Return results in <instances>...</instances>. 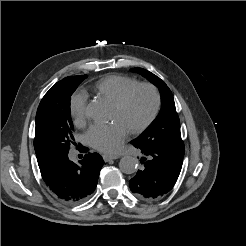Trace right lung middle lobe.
I'll return each mask as SVG.
<instances>
[{"mask_svg":"<svg viewBox=\"0 0 246 246\" xmlns=\"http://www.w3.org/2000/svg\"><path fill=\"white\" fill-rule=\"evenodd\" d=\"M87 75L69 76L53 85L41 100L37 114L36 137L43 158L66 155L74 143L70 99Z\"/></svg>","mask_w":246,"mask_h":246,"instance_id":"right-lung-middle-lobe-1","label":"right lung middle lobe"}]
</instances>
